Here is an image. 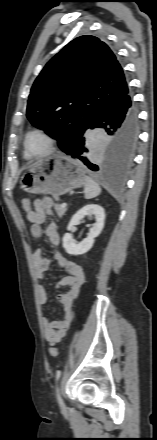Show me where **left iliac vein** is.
Masks as SVG:
<instances>
[{
    "label": "left iliac vein",
    "mask_w": 157,
    "mask_h": 440,
    "mask_svg": "<svg viewBox=\"0 0 157 440\" xmlns=\"http://www.w3.org/2000/svg\"><path fill=\"white\" fill-rule=\"evenodd\" d=\"M57 400H58L59 406H60L61 408H64V407H65V404H64V401H63V399H62V395H61V389H60V387L57 389Z\"/></svg>",
    "instance_id": "1"
}]
</instances>
